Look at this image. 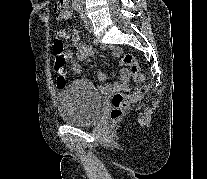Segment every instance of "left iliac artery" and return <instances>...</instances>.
<instances>
[{"mask_svg": "<svg viewBox=\"0 0 207 179\" xmlns=\"http://www.w3.org/2000/svg\"><path fill=\"white\" fill-rule=\"evenodd\" d=\"M79 13H80L81 18H84L83 11L81 10V8L79 9Z\"/></svg>", "mask_w": 207, "mask_h": 179, "instance_id": "44dca946", "label": "left iliac artery"}]
</instances>
